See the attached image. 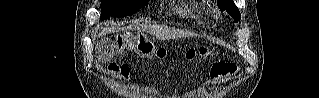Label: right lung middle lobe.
Listing matches in <instances>:
<instances>
[{
	"label": "right lung middle lobe",
	"instance_id": "dd1d6c3e",
	"mask_svg": "<svg viewBox=\"0 0 319 98\" xmlns=\"http://www.w3.org/2000/svg\"><path fill=\"white\" fill-rule=\"evenodd\" d=\"M149 0H101V20L131 15L145 6Z\"/></svg>",
	"mask_w": 319,
	"mask_h": 98
}]
</instances>
